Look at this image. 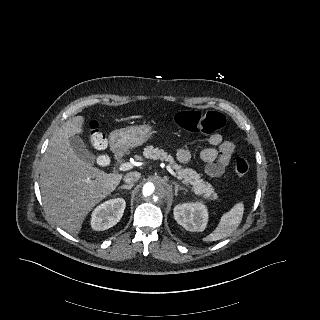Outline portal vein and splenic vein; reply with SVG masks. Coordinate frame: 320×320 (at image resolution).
I'll return each instance as SVG.
<instances>
[{
	"label": "portal vein and splenic vein",
	"mask_w": 320,
	"mask_h": 320,
	"mask_svg": "<svg viewBox=\"0 0 320 320\" xmlns=\"http://www.w3.org/2000/svg\"><path fill=\"white\" fill-rule=\"evenodd\" d=\"M132 168H133V164L129 163V162L123 163L119 166V170H121V171H127ZM166 168L170 174L177 177V179L182 180V178L180 176H177L176 173L173 171V169L170 166H166ZM182 182L184 183V181H182Z\"/></svg>",
	"instance_id": "obj_1"
}]
</instances>
